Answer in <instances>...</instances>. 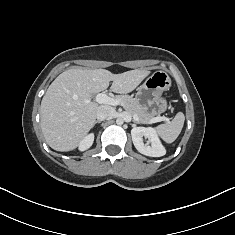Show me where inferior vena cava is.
<instances>
[{"mask_svg": "<svg viewBox=\"0 0 235 235\" xmlns=\"http://www.w3.org/2000/svg\"><path fill=\"white\" fill-rule=\"evenodd\" d=\"M113 112H114V110H113L112 107L100 106L97 110L96 118L99 121L106 120V119L110 118L113 115Z\"/></svg>", "mask_w": 235, "mask_h": 235, "instance_id": "602c4592", "label": "inferior vena cava"}]
</instances>
